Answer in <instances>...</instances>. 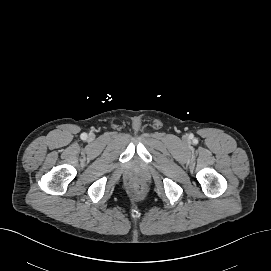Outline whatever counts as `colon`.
Instances as JSON below:
<instances>
[{
  "label": "colon",
  "mask_w": 271,
  "mask_h": 271,
  "mask_svg": "<svg viewBox=\"0 0 271 271\" xmlns=\"http://www.w3.org/2000/svg\"><path fill=\"white\" fill-rule=\"evenodd\" d=\"M134 192L137 196H142L144 194V188L141 185H136L134 187Z\"/></svg>",
  "instance_id": "colon-1"
}]
</instances>
